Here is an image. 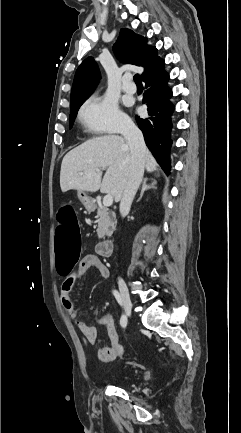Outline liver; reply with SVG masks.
Listing matches in <instances>:
<instances>
[{
  "mask_svg": "<svg viewBox=\"0 0 241 433\" xmlns=\"http://www.w3.org/2000/svg\"><path fill=\"white\" fill-rule=\"evenodd\" d=\"M130 167L131 153L123 137L107 135L88 140L64 156L60 170L61 191L100 190L118 202L123 196ZM145 167L150 173L157 170V163L147 150ZM102 169H107L103 179Z\"/></svg>",
  "mask_w": 241,
  "mask_h": 433,
  "instance_id": "6515ba94",
  "label": "liver"
}]
</instances>
